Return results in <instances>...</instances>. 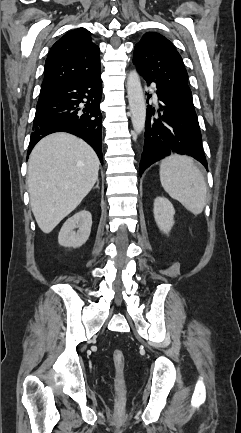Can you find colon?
<instances>
[{
	"label": "colon",
	"instance_id": "5ec220e1",
	"mask_svg": "<svg viewBox=\"0 0 241 433\" xmlns=\"http://www.w3.org/2000/svg\"><path fill=\"white\" fill-rule=\"evenodd\" d=\"M112 358L116 369L115 390L118 395L119 402H121L125 395V356L121 350L116 349L113 351Z\"/></svg>",
	"mask_w": 241,
	"mask_h": 433
}]
</instances>
